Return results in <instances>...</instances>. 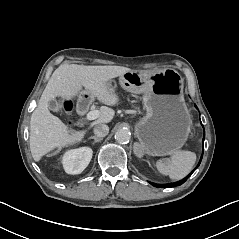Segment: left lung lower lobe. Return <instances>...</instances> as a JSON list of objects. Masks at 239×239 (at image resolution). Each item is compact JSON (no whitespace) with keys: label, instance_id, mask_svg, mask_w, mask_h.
<instances>
[{"label":"left lung lower lobe","instance_id":"obj_1","mask_svg":"<svg viewBox=\"0 0 239 239\" xmlns=\"http://www.w3.org/2000/svg\"><path fill=\"white\" fill-rule=\"evenodd\" d=\"M196 106V105H195ZM196 108H197V106H196ZM201 162V161H200ZM200 162H199V164H200ZM199 164L197 165V167L199 166ZM196 167V168H197ZM193 173V172H192ZM191 173V174H192ZM191 174H189L186 178H184L183 180H181V181H179V182H176V183H170V184H154V183H151L153 186H155V187H158V188H169V187H174V186H179V185H181V184H183L188 178H189V176L191 175Z\"/></svg>","mask_w":239,"mask_h":239}]
</instances>
